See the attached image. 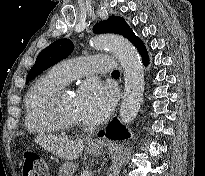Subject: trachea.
Segmentation results:
<instances>
[{
  "label": "trachea",
  "mask_w": 205,
  "mask_h": 176,
  "mask_svg": "<svg viewBox=\"0 0 205 176\" xmlns=\"http://www.w3.org/2000/svg\"><path fill=\"white\" fill-rule=\"evenodd\" d=\"M112 73H119V71H118V70H115V71H113Z\"/></svg>",
  "instance_id": "trachea-1"
}]
</instances>
